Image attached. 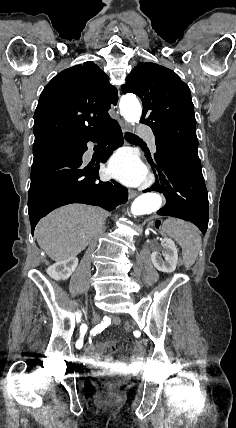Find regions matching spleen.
<instances>
[{"instance_id": "spleen-1", "label": "spleen", "mask_w": 236, "mask_h": 428, "mask_svg": "<svg viewBox=\"0 0 236 428\" xmlns=\"http://www.w3.org/2000/svg\"><path fill=\"white\" fill-rule=\"evenodd\" d=\"M162 230L181 246L185 268L193 266L201 248V236L198 228L190 222H184L178 218H168L165 220Z\"/></svg>"}]
</instances>
